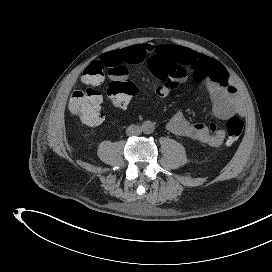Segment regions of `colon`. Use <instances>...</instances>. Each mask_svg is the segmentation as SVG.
I'll use <instances>...</instances> for the list:
<instances>
[{"mask_svg": "<svg viewBox=\"0 0 272 272\" xmlns=\"http://www.w3.org/2000/svg\"><path fill=\"white\" fill-rule=\"evenodd\" d=\"M106 71L112 76L106 93L113 106L123 108L137 94L135 84L126 80L125 68L120 66L108 68L100 61L91 62L81 74V80L86 88L74 91L69 101L71 113L86 125H97L102 121V98L97 87L104 81ZM243 128V120L239 117H231L226 122L228 145L238 140Z\"/></svg>", "mask_w": 272, "mask_h": 272, "instance_id": "5ec220e1", "label": "colon"}]
</instances>
